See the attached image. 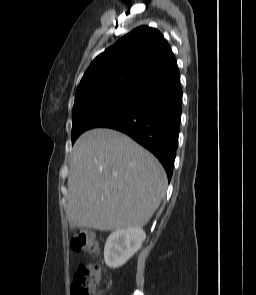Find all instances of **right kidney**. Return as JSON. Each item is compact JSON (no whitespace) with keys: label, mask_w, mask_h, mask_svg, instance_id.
<instances>
[{"label":"right kidney","mask_w":256,"mask_h":295,"mask_svg":"<svg viewBox=\"0 0 256 295\" xmlns=\"http://www.w3.org/2000/svg\"><path fill=\"white\" fill-rule=\"evenodd\" d=\"M146 234L141 227L118 229L107 238L104 260L108 267L124 265L142 246Z\"/></svg>","instance_id":"obj_1"}]
</instances>
